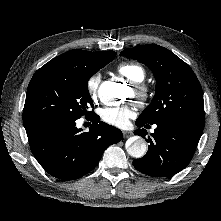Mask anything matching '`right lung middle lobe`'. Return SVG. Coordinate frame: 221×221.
Instances as JSON below:
<instances>
[{
  "instance_id": "obj_1",
  "label": "right lung middle lobe",
  "mask_w": 221,
  "mask_h": 221,
  "mask_svg": "<svg viewBox=\"0 0 221 221\" xmlns=\"http://www.w3.org/2000/svg\"><path fill=\"white\" fill-rule=\"evenodd\" d=\"M114 59L106 56L78 69L41 67L33 75L26 94L23 121L77 120L93 115L88 80Z\"/></svg>"
}]
</instances>
